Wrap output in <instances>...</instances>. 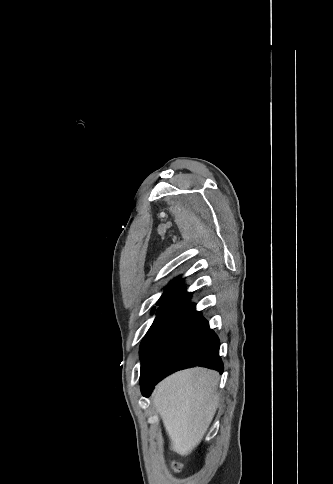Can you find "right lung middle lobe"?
<instances>
[{
    "label": "right lung middle lobe",
    "instance_id": "dd1d6c3e",
    "mask_svg": "<svg viewBox=\"0 0 333 484\" xmlns=\"http://www.w3.org/2000/svg\"><path fill=\"white\" fill-rule=\"evenodd\" d=\"M158 305H159V304H158ZM154 311H155V308H153L152 313H153ZM146 337H147V334H146V336L144 337V339H143V341H142V343H141V347H140V356H141V358H142L143 353H144V347H145V344H146Z\"/></svg>",
    "mask_w": 333,
    "mask_h": 484
}]
</instances>
